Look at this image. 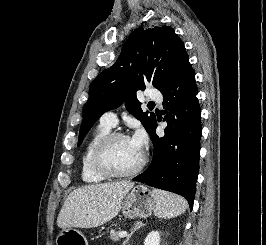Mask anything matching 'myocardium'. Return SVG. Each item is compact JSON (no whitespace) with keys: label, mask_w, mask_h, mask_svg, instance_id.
<instances>
[{"label":"myocardium","mask_w":266,"mask_h":245,"mask_svg":"<svg viewBox=\"0 0 266 245\" xmlns=\"http://www.w3.org/2000/svg\"><path fill=\"white\" fill-rule=\"evenodd\" d=\"M118 138H128V136L120 131H110L97 144L93 151L92 162L94 169L98 174L106 179H122L135 176L141 171L145 163L144 154H140L139 161L134 169L126 173L115 172L108 163V153L112 143Z\"/></svg>","instance_id":"1"}]
</instances>
